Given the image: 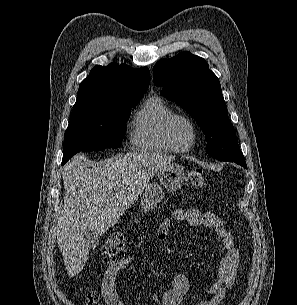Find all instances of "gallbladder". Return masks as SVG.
I'll return each mask as SVG.
<instances>
[{"label": "gallbladder", "instance_id": "obj_1", "mask_svg": "<svg viewBox=\"0 0 297 305\" xmlns=\"http://www.w3.org/2000/svg\"><path fill=\"white\" fill-rule=\"evenodd\" d=\"M101 234L96 230L86 229L83 233V239L89 249H94L98 246Z\"/></svg>", "mask_w": 297, "mask_h": 305}]
</instances>
